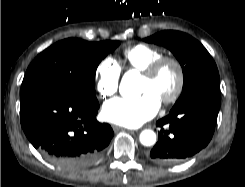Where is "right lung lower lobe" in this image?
<instances>
[{
  "label": "right lung lower lobe",
  "instance_id": "obj_1",
  "mask_svg": "<svg viewBox=\"0 0 245 187\" xmlns=\"http://www.w3.org/2000/svg\"><path fill=\"white\" fill-rule=\"evenodd\" d=\"M99 103L56 90L21 98V126L32 145L51 163L69 171L93 166L114 132L95 116Z\"/></svg>",
  "mask_w": 245,
  "mask_h": 187
}]
</instances>
